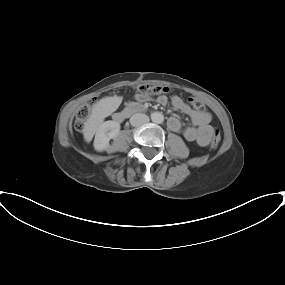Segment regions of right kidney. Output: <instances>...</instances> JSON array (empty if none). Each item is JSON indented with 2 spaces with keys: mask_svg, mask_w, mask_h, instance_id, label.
<instances>
[{
  "mask_svg": "<svg viewBox=\"0 0 285 285\" xmlns=\"http://www.w3.org/2000/svg\"><path fill=\"white\" fill-rule=\"evenodd\" d=\"M120 132V124L115 121L103 122L97 129L94 139V149L98 152L110 150V139H114Z\"/></svg>",
  "mask_w": 285,
  "mask_h": 285,
  "instance_id": "ca27d5eb",
  "label": "right kidney"
}]
</instances>
